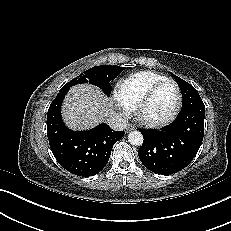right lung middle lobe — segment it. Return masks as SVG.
Masks as SVG:
<instances>
[{"label":"right lung middle lobe","mask_w":231,"mask_h":231,"mask_svg":"<svg viewBox=\"0 0 231 231\" xmlns=\"http://www.w3.org/2000/svg\"><path fill=\"white\" fill-rule=\"evenodd\" d=\"M124 69V67L110 65L92 67L80 74L77 78L72 79L65 86L70 88L79 83H90L100 87L109 95L111 91L110 81L114 80Z\"/></svg>","instance_id":"1"}]
</instances>
